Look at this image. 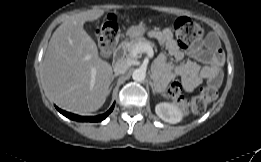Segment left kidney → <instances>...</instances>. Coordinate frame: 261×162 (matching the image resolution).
Here are the masks:
<instances>
[{"mask_svg":"<svg viewBox=\"0 0 261 162\" xmlns=\"http://www.w3.org/2000/svg\"><path fill=\"white\" fill-rule=\"evenodd\" d=\"M156 114L165 122L176 124L182 120L183 111L174 103H159L155 107Z\"/></svg>","mask_w":261,"mask_h":162,"instance_id":"left-kidney-1","label":"left kidney"}]
</instances>
